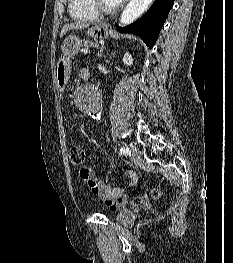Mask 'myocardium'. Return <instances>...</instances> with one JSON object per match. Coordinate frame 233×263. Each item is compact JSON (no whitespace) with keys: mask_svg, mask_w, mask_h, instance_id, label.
I'll list each match as a JSON object with an SVG mask.
<instances>
[{"mask_svg":"<svg viewBox=\"0 0 233 263\" xmlns=\"http://www.w3.org/2000/svg\"><path fill=\"white\" fill-rule=\"evenodd\" d=\"M91 7L97 12L99 15H110L116 13L120 7L121 3H118L116 6L108 8L101 4L100 0H89Z\"/></svg>","mask_w":233,"mask_h":263,"instance_id":"myocardium-1","label":"myocardium"}]
</instances>
